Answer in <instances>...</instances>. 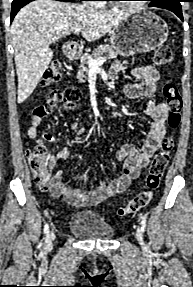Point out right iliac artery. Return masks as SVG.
<instances>
[{
  "label": "right iliac artery",
  "mask_w": 193,
  "mask_h": 287,
  "mask_svg": "<svg viewBox=\"0 0 193 287\" xmlns=\"http://www.w3.org/2000/svg\"><path fill=\"white\" fill-rule=\"evenodd\" d=\"M44 234H45V241H48V237H49V225L45 224L44 226Z\"/></svg>",
  "instance_id": "1"
}]
</instances>
